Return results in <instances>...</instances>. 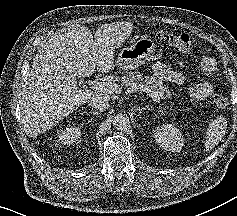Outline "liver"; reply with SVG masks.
<instances>
[{
    "instance_id": "obj_1",
    "label": "liver",
    "mask_w": 237,
    "mask_h": 216,
    "mask_svg": "<svg viewBox=\"0 0 237 216\" xmlns=\"http://www.w3.org/2000/svg\"><path fill=\"white\" fill-rule=\"evenodd\" d=\"M61 32L42 44L22 90V113L31 132L48 129L91 98L94 91L79 89L77 78L90 77L96 69L106 73L113 66V49L96 43L88 27Z\"/></svg>"
}]
</instances>
